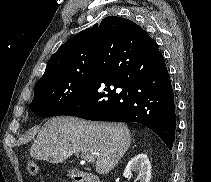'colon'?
Wrapping results in <instances>:
<instances>
[{
  "label": "colon",
  "mask_w": 211,
  "mask_h": 182,
  "mask_svg": "<svg viewBox=\"0 0 211 182\" xmlns=\"http://www.w3.org/2000/svg\"><path fill=\"white\" fill-rule=\"evenodd\" d=\"M27 169L31 175H37L39 173V165L33 160H28Z\"/></svg>",
  "instance_id": "5ec220e1"
}]
</instances>
